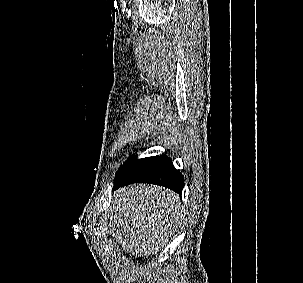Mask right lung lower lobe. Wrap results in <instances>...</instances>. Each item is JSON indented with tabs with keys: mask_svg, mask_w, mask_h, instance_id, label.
<instances>
[{
	"mask_svg": "<svg viewBox=\"0 0 303 283\" xmlns=\"http://www.w3.org/2000/svg\"><path fill=\"white\" fill-rule=\"evenodd\" d=\"M132 183H149L169 188L181 195L184 178L166 155L136 159L129 157L118 170L113 190Z\"/></svg>",
	"mask_w": 303,
	"mask_h": 283,
	"instance_id": "obj_1",
	"label": "right lung lower lobe"
}]
</instances>
